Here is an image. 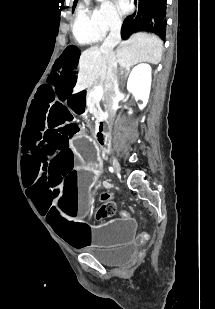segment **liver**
Returning <instances> with one entry per match:
<instances>
[{
    "label": "liver",
    "instance_id": "obj_1",
    "mask_svg": "<svg viewBox=\"0 0 215 309\" xmlns=\"http://www.w3.org/2000/svg\"><path fill=\"white\" fill-rule=\"evenodd\" d=\"M163 50V40L156 34L148 32H135L127 40L119 42L115 54L117 62L130 68L138 62H152L158 64L161 60ZM107 64L105 52H102L98 46H90L81 52L79 58V72L77 82L73 88L74 94L90 88L96 80H105Z\"/></svg>",
    "mask_w": 215,
    "mask_h": 309
}]
</instances>
